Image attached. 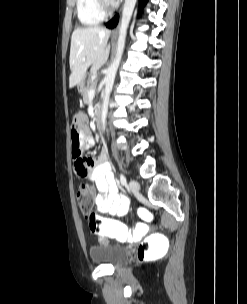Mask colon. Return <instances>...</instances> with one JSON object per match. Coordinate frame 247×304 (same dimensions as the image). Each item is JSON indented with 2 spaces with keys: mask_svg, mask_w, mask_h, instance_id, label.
Here are the masks:
<instances>
[{
  "mask_svg": "<svg viewBox=\"0 0 247 304\" xmlns=\"http://www.w3.org/2000/svg\"><path fill=\"white\" fill-rule=\"evenodd\" d=\"M82 120V119H72ZM81 152V151H80ZM81 159H78V163ZM94 198L93 190L88 186H81L76 194L77 203L81 211L88 216L89 228L92 232L100 234V238H122L125 231H132L135 238H144L147 234V225H157L158 219L153 212L141 208L137 215L141 217L145 224H123L122 227L110 220L103 219L91 211ZM141 207L144 205L141 204ZM170 237H166L165 233H149L148 237L142 241L138 248V257L140 259H164L167 253L168 244H170ZM120 246H137V239H120Z\"/></svg>",
  "mask_w": 247,
  "mask_h": 304,
  "instance_id": "5ec220e1",
  "label": "colon"
}]
</instances>
